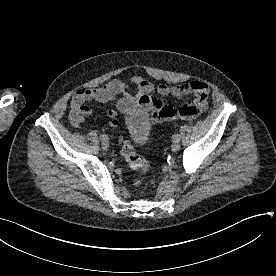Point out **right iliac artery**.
Wrapping results in <instances>:
<instances>
[{
	"instance_id": "obj_1",
	"label": "right iliac artery",
	"mask_w": 276,
	"mask_h": 276,
	"mask_svg": "<svg viewBox=\"0 0 276 276\" xmlns=\"http://www.w3.org/2000/svg\"><path fill=\"white\" fill-rule=\"evenodd\" d=\"M101 140H108V137L106 135H100Z\"/></svg>"
}]
</instances>
